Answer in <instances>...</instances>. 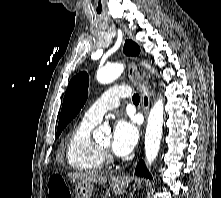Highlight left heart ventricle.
<instances>
[{"label": "left heart ventricle", "mask_w": 221, "mask_h": 198, "mask_svg": "<svg viewBox=\"0 0 221 198\" xmlns=\"http://www.w3.org/2000/svg\"><path fill=\"white\" fill-rule=\"evenodd\" d=\"M110 143H111V138L110 137H106L104 140H102L100 142V144L102 146H105V147H109L110 146Z\"/></svg>", "instance_id": "b2bd125f"}]
</instances>
